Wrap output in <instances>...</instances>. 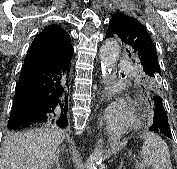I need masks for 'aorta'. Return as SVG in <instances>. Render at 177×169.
I'll return each mask as SVG.
<instances>
[{
    "mask_svg": "<svg viewBox=\"0 0 177 169\" xmlns=\"http://www.w3.org/2000/svg\"><path fill=\"white\" fill-rule=\"evenodd\" d=\"M120 46L117 41L111 40L105 42L100 49L101 69L104 75L113 72L115 64L119 58ZM102 143L99 144L92 154H90L86 169H97L102 160Z\"/></svg>",
    "mask_w": 177,
    "mask_h": 169,
    "instance_id": "obj_1",
    "label": "aorta"
}]
</instances>
